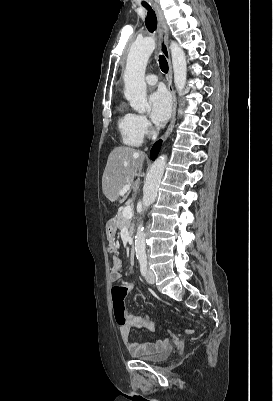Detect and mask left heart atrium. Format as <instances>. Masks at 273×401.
<instances>
[{
	"label": "left heart atrium",
	"instance_id": "obj_1",
	"mask_svg": "<svg viewBox=\"0 0 273 401\" xmlns=\"http://www.w3.org/2000/svg\"><path fill=\"white\" fill-rule=\"evenodd\" d=\"M149 116L157 125L164 124L170 114L171 103L168 96L163 92L152 93L148 97Z\"/></svg>",
	"mask_w": 273,
	"mask_h": 401
}]
</instances>
